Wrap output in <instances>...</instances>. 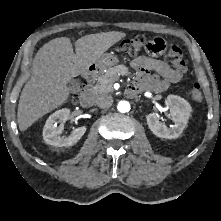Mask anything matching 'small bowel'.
<instances>
[{
    "label": "small bowel",
    "mask_w": 221,
    "mask_h": 221,
    "mask_svg": "<svg viewBox=\"0 0 221 221\" xmlns=\"http://www.w3.org/2000/svg\"><path fill=\"white\" fill-rule=\"evenodd\" d=\"M149 53L152 56H139L132 61V67L137 71V81L131 87L134 92L142 89L160 92L171 83H177L182 79V73L154 57L158 53Z\"/></svg>",
    "instance_id": "small-bowel-1"
}]
</instances>
